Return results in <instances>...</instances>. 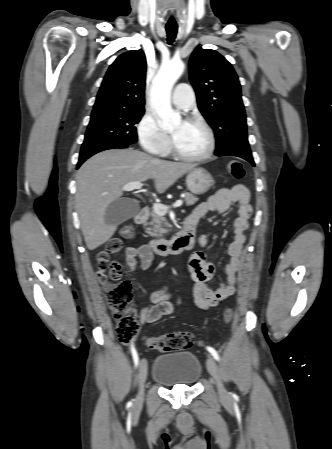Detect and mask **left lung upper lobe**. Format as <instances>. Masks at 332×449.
I'll return each mask as SVG.
<instances>
[{
  "instance_id": "left-lung-upper-lobe-1",
  "label": "left lung upper lobe",
  "mask_w": 332,
  "mask_h": 449,
  "mask_svg": "<svg viewBox=\"0 0 332 449\" xmlns=\"http://www.w3.org/2000/svg\"><path fill=\"white\" fill-rule=\"evenodd\" d=\"M198 108L216 137L215 153L251 152L241 88L232 65L218 52L196 47L189 61Z\"/></svg>"
}]
</instances>
